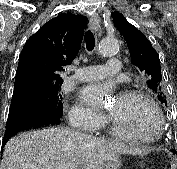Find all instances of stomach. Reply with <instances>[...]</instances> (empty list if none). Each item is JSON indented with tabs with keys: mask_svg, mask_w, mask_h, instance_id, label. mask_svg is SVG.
I'll return each instance as SVG.
<instances>
[{
	"mask_svg": "<svg viewBox=\"0 0 177 169\" xmlns=\"http://www.w3.org/2000/svg\"><path fill=\"white\" fill-rule=\"evenodd\" d=\"M121 158L119 155L112 157L108 162L104 165V169H120Z\"/></svg>",
	"mask_w": 177,
	"mask_h": 169,
	"instance_id": "stomach-1",
	"label": "stomach"
}]
</instances>
